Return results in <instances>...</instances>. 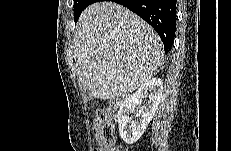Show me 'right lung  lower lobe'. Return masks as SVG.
<instances>
[{"label":"right lung lower lobe","mask_w":231,"mask_h":151,"mask_svg":"<svg viewBox=\"0 0 231 151\" xmlns=\"http://www.w3.org/2000/svg\"><path fill=\"white\" fill-rule=\"evenodd\" d=\"M112 1L127 7L149 23L160 36L165 52L171 49L176 30V0Z\"/></svg>","instance_id":"right-lung-lower-lobe-1"}]
</instances>
